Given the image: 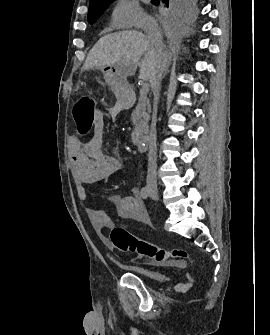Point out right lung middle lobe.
Segmentation results:
<instances>
[{"label":"right lung middle lobe","mask_w":270,"mask_h":335,"mask_svg":"<svg viewBox=\"0 0 270 335\" xmlns=\"http://www.w3.org/2000/svg\"><path fill=\"white\" fill-rule=\"evenodd\" d=\"M169 1V0H167ZM199 0H174L171 3V17L172 19L181 24L192 19L197 11ZM155 5L159 4V0H152ZM110 3L89 6L88 10V22L94 24L98 18L106 11ZM168 8L169 5H166Z\"/></svg>","instance_id":"right-lung-middle-lobe-1"}]
</instances>
